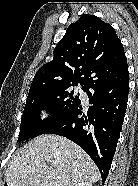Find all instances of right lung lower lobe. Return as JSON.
I'll return each instance as SVG.
<instances>
[{"mask_svg": "<svg viewBox=\"0 0 138 186\" xmlns=\"http://www.w3.org/2000/svg\"><path fill=\"white\" fill-rule=\"evenodd\" d=\"M129 78L118 83L84 87L89 102L87 114L80 103L61 121L46 131L64 136L83 148L106 180L115 154L126 112ZM83 114V115H82Z\"/></svg>", "mask_w": 138, "mask_h": 186, "instance_id": "obj_1", "label": "right lung lower lobe"}]
</instances>
